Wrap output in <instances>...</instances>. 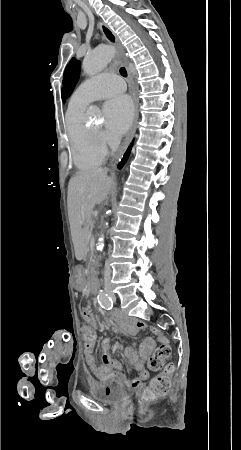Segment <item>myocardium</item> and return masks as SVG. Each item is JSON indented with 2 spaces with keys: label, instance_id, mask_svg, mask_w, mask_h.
<instances>
[{
  "label": "myocardium",
  "instance_id": "obj_1",
  "mask_svg": "<svg viewBox=\"0 0 241 450\" xmlns=\"http://www.w3.org/2000/svg\"><path fill=\"white\" fill-rule=\"evenodd\" d=\"M91 135H93V136H85L84 138H83V141L85 142V143H97L100 139L98 138L99 136H100V133L99 132H97L96 130L95 131H93V130H91L90 132H89Z\"/></svg>",
  "mask_w": 241,
  "mask_h": 450
}]
</instances>
